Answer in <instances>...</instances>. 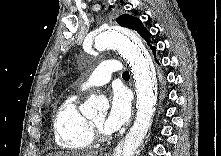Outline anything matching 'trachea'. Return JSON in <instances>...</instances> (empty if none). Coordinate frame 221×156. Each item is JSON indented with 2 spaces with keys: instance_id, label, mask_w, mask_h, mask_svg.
<instances>
[{
  "instance_id": "3493384b",
  "label": "trachea",
  "mask_w": 221,
  "mask_h": 156,
  "mask_svg": "<svg viewBox=\"0 0 221 156\" xmlns=\"http://www.w3.org/2000/svg\"><path fill=\"white\" fill-rule=\"evenodd\" d=\"M122 77H123V78H129V72H128V71H125V72L122 74Z\"/></svg>"
}]
</instances>
